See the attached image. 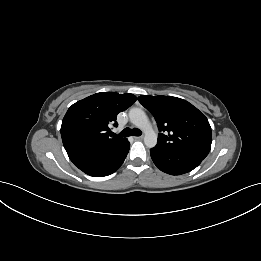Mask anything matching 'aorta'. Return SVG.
I'll return each instance as SVG.
<instances>
[{
    "mask_svg": "<svg viewBox=\"0 0 261 261\" xmlns=\"http://www.w3.org/2000/svg\"><path fill=\"white\" fill-rule=\"evenodd\" d=\"M129 118L132 124L144 132V143L148 148H153L157 144V135L153 130L145 112L140 108H131Z\"/></svg>",
    "mask_w": 261,
    "mask_h": 261,
    "instance_id": "1",
    "label": "aorta"
}]
</instances>
